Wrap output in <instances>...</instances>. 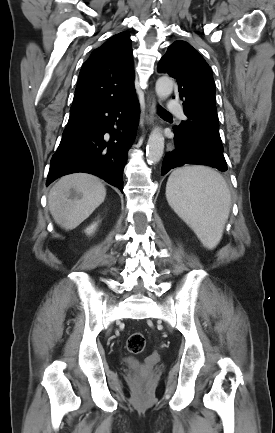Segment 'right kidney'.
<instances>
[{
    "instance_id": "right-kidney-1",
    "label": "right kidney",
    "mask_w": 275,
    "mask_h": 433,
    "mask_svg": "<svg viewBox=\"0 0 275 433\" xmlns=\"http://www.w3.org/2000/svg\"><path fill=\"white\" fill-rule=\"evenodd\" d=\"M96 227H97V223H94V224H92L91 226H89V227L85 230V232H86L87 234L90 235L91 233H93V232L95 231Z\"/></svg>"
}]
</instances>
